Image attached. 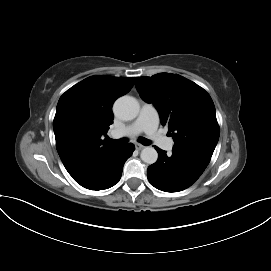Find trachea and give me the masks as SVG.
I'll return each mask as SVG.
<instances>
[{"label":"trachea","mask_w":271,"mask_h":271,"mask_svg":"<svg viewBox=\"0 0 271 271\" xmlns=\"http://www.w3.org/2000/svg\"><path fill=\"white\" fill-rule=\"evenodd\" d=\"M112 142L116 143V144H125L128 142V139L127 138H122V139H116V140H113V139H110ZM138 142H140L141 144L145 145V146H148L151 144V141L144 138V137H140L138 139Z\"/></svg>","instance_id":"trachea-1"}]
</instances>
